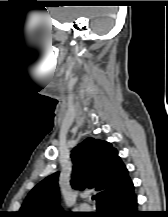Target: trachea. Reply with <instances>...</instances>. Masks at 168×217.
I'll return each mask as SVG.
<instances>
[{
  "mask_svg": "<svg viewBox=\"0 0 168 217\" xmlns=\"http://www.w3.org/2000/svg\"><path fill=\"white\" fill-rule=\"evenodd\" d=\"M95 198H96L95 196L92 197L93 200H94Z\"/></svg>",
  "mask_w": 168,
  "mask_h": 217,
  "instance_id": "3493384b",
  "label": "trachea"
}]
</instances>
